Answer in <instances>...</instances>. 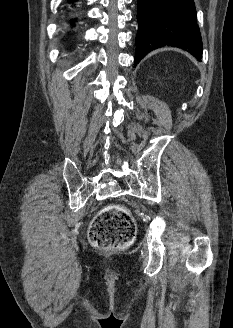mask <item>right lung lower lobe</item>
Wrapping results in <instances>:
<instances>
[{
	"label": "right lung lower lobe",
	"mask_w": 233,
	"mask_h": 328,
	"mask_svg": "<svg viewBox=\"0 0 233 328\" xmlns=\"http://www.w3.org/2000/svg\"><path fill=\"white\" fill-rule=\"evenodd\" d=\"M71 24H72V25L74 24L73 20H71Z\"/></svg>",
	"instance_id": "obj_1"
}]
</instances>
